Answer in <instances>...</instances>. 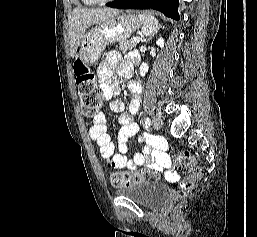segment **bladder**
<instances>
[{"instance_id":"obj_1","label":"bladder","mask_w":257,"mask_h":237,"mask_svg":"<svg viewBox=\"0 0 257 237\" xmlns=\"http://www.w3.org/2000/svg\"><path fill=\"white\" fill-rule=\"evenodd\" d=\"M114 193L147 208H158L168 200V191L158 181H143L119 187Z\"/></svg>"}]
</instances>
